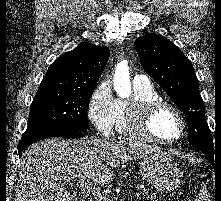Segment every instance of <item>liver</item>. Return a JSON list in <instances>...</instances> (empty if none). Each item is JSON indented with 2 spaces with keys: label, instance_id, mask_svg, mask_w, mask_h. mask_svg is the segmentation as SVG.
<instances>
[{
  "label": "liver",
  "instance_id": "1",
  "mask_svg": "<svg viewBox=\"0 0 221 201\" xmlns=\"http://www.w3.org/2000/svg\"><path fill=\"white\" fill-rule=\"evenodd\" d=\"M159 151L147 144L97 138L42 140L21 156L14 201H71L65 186L73 180L113 181L112 168Z\"/></svg>",
  "mask_w": 221,
  "mask_h": 201
}]
</instances>
